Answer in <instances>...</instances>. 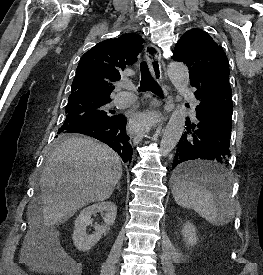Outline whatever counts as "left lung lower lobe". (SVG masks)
Listing matches in <instances>:
<instances>
[{"label":"left lung lower lobe","mask_w":263,"mask_h":275,"mask_svg":"<svg viewBox=\"0 0 263 275\" xmlns=\"http://www.w3.org/2000/svg\"><path fill=\"white\" fill-rule=\"evenodd\" d=\"M190 82L197 89L194 94L200 101L196 107L197 123L186 119V131L177 144L172 167L176 168L178 180L199 181L216 189L224 176L219 171L203 169L190 162L213 160L228 164L231 156L232 90L225 77L211 82L191 78Z\"/></svg>","instance_id":"1"}]
</instances>
